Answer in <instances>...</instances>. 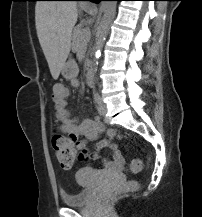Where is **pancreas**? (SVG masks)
I'll list each match as a JSON object with an SVG mask.
<instances>
[{"instance_id":"obj_1","label":"pancreas","mask_w":202,"mask_h":217,"mask_svg":"<svg viewBox=\"0 0 202 217\" xmlns=\"http://www.w3.org/2000/svg\"><path fill=\"white\" fill-rule=\"evenodd\" d=\"M90 40V31L88 29L76 28L73 31L72 36V50L80 52L82 48H85Z\"/></svg>"}]
</instances>
